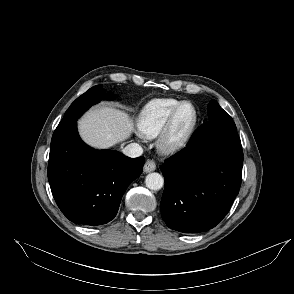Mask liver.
<instances>
[{"instance_id":"obj_1","label":"liver","mask_w":294,"mask_h":294,"mask_svg":"<svg viewBox=\"0 0 294 294\" xmlns=\"http://www.w3.org/2000/svg\"><path fill=\"white\" fill-rule=\"evenodd\" d=\"M79 134L91 147L106 149L127 139L133 123L125 112L102 106L87 112L78 122Z\"/></svg>"}]
</instances>
